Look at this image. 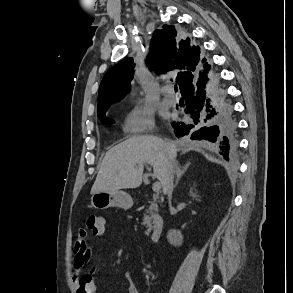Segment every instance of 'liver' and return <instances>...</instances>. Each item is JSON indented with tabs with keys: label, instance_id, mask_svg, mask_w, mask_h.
<instances>
[{
	"label": "liver",
	"instance_id": "liver-1",
	"mask_svg": "<svg viewBox=\"0 0 293 293\" xmlns=\"http://www.w3.org/2000/svg\"><path fill=\"white\" fill-rule=\"evenodd\" d=\"M176 156V146L167 140L148 135L129 138L105 154L91 194L139 187L145 164L153 167L154 176L163 185L168 165Z\"/></svg>",
	"mask_w": 293,
	"mask_h": 293
}]
</instances>
